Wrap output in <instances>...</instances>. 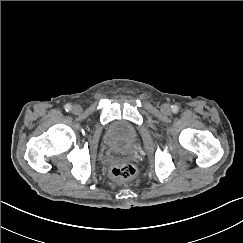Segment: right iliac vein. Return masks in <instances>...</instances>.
<instances>
[{
    "mask_svg": "<svg viewBox=\"0 0 243 243\" xmlns=\"http://www.w3.org/2000/svg\"><path fill=\"white\" fill-rule=\"evenodd\" d=\"M81 111H82V108H81L80 105L75 104V105L72 106V112H73L74 114H80Z\"/></svg>",
    "mask_w": 243,
    "mask_h": 243,
    "instance_id": "63e3f726",
    "label": "right iliac vein"
}]
</instances>
